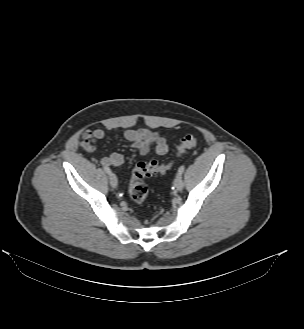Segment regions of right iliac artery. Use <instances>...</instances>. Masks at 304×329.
I'll return each mask as SVG.
<instances>
[{"label":"right iliac artery","mask_w":304,"mask_h":329,"mask_svg":"<svg viewBox=\"0 0 304 329\" xmlns=\"http://www.w3.org/2000/svg\"><path fill=\"white\" fill-rule=\"evenodd\" d=\"M103 169L106 173L111 174V170L108 166H104Z\"/></svg>","instance_id":"right-iliac-artery-1"}]
</instances>
